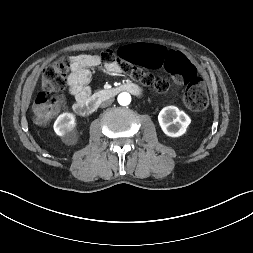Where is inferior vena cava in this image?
I'll return each instance as SVG.
<instances>
[{
	"mask_svg": "<svg viewBox=\"0 0 253 253\" xmlns=\"http://www.w3.org/2000/svg\"><path fill=\"white\" fill-rule=\"evenodd\" d=\"M112 102H113V99H108V100L102 102L100 106H101L102 108H105V107L111 105Z\"/></svg>",
	"mask_w": 253,
	"mask_h": 253,
	"instance_id": "602c4592",
	"label": "inferior vena cava"
}]
</instances>
